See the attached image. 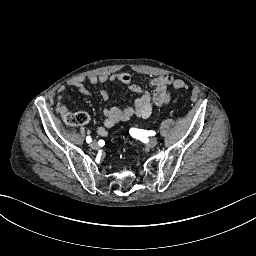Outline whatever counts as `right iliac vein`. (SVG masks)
I'll return each mask as SVG.
<instances>
[{"label":"right iliac vein","mask_w":256,"mask_h":256,"mask_svg":"<svg viewBox=\"0 0 256 256\" xmlns=\"http://www.w3.org/2000/svg\"><path fill=\"white\" fill-rule=\"evenodd\" d=\"M90 147L94 150L99 149V145H98L97 141H95V140L90 143Z\"/></svg>","instance_id":"obj_1"}]
</instances>
